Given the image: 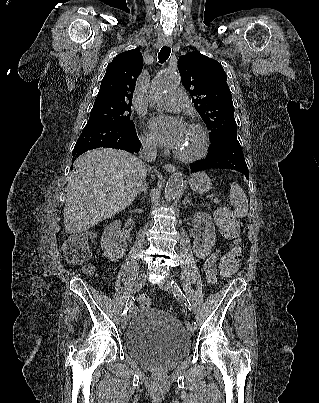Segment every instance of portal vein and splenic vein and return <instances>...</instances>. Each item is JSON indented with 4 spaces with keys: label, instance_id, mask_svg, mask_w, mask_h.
<instances>
[{
    "label": "portal vein and splenic vein",
    "instance_id": "portal-vein-and-splenic-vein-1",
    "mask_svg": "<svg viewBox=\"0 0 319 403\" xmlns=\"http://www.w3.org/2000/svg\"><path fill=\"white\" fill-rule=\"evenodd\" d=\"M211 197H214V196L212 195ZM214 202L219 203V201L216 198H214Z\"/></svg>",
    "mask_w": 319,
    "mask_h": 403
}]
</instances>
